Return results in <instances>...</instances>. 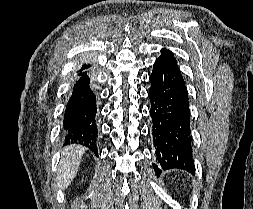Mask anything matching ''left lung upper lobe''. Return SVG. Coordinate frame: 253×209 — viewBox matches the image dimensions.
I'll list each match as a JSON object with an SVG mask.
<instances>
[{"mask_svg":"<svg viewBox=\"0 0 253 209\" xmlns=\"http://www.w3.org/2000/svg\"><path fill=\"white\" fill-rule=\"evenodd\" d=\"M159 58L169 60V61L177 64L176 59L174 58L172 52L165 49V48L161 50V55L159 56Z\"/></svg>","mask_w":253,"mask_h":209,"instance_id":"5c2ea615","label":"left lung upper lobe"}]
</instances>
